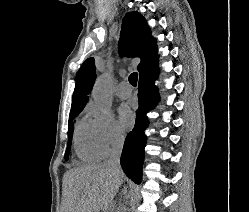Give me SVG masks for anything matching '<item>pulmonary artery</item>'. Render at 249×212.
<instances>
[{
  "instance_id": "pulmonary-artery-1",
  "label": "pulmonary artery",
  "mask_w": 249,
  "mask_h": 212,
  "mask_svg": "<svg viewBox=\"0 0 249 212\" xmlns=\"http://www.w3.org/2000/svg\"><path fill=\"white\" fill-rule=\"evenodd\" d=\"M116 94L121 99H127L131 96V87L127 81L121 82L116 90Z\"/></svg>"
}]
</instances>
